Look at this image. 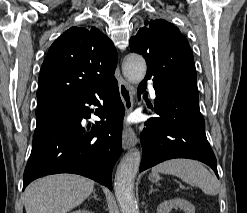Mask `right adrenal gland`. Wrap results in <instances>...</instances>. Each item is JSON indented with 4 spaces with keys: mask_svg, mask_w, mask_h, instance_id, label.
<instances>
[{
    "mask_svg": "<svg viewBox=\"0 0 247 213\" xmlns=\"http://www.w3.org/2000/svg\"><path fill=\"white\" fill-rule=\"evenodd\" d=\"M91 198H94V199H96V200H99V198L97 197V194H96L95 190L93 191V196L90 197L89 200H90Z\"/></svg>",
    "mask_w": 247,
    "mask_h": 213,
    "instance_id": "1",
    "label": "right adrenal gland"
}]
</instances>
